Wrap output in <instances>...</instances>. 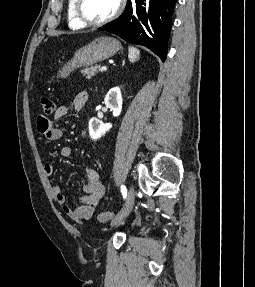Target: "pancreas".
I'll list each match as a JSON object with an SVG mask.
<instances>
[{
	"instance_id": "1",
	"label": "pancreas",
	"mask_w": 255,
	"mask_h": 287,
	"mask_svg": "<svg viewBox=\"0 0 255 287\" xmlns=\"http://www.w3.org/2000/svg\"><path fill=\"white\" fill-rule=\"evenodd\" d=\"M99 68L100 66H91V68H84V70H81V72L84 74V76H86V78H88V80H90L92 76H95V72H97Z\"/></svg>"
}]
</instances>
